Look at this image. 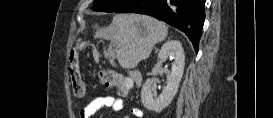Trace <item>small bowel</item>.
<instances>
[{
    "label": "small bowel",
    "mask_w": 273,
    "mask_h": 118,
    "mask_svg": "<svg viewBox=\"0 0 273 118\" xmlns=\"http://www.w3.org/2000/svg\"><path fill=\"white\" fill-rule=\"evenodd\" d=\"M124 102L122 99L111 95H96L93 96L89 102L80 109V118H91L94 114L103 108H108L113 111H120L123 109ZM131 114L134 117H142L143 112L138 107L131 108Z\"/></svg>",
    "instance_id": "obj_1"
}]
</instances>
